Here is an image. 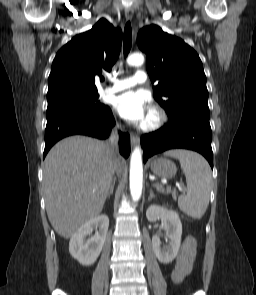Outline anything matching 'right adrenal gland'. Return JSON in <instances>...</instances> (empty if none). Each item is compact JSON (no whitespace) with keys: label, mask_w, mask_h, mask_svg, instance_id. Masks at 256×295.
Wrapping results in <instances>:
<instances>
[{"label":"right adrenal gland","mask_w":256,"mask_h":295,"mask_svg":"<svg viewBox=\"0 0 256 295\" xmlns=\"http://www.w3.org/2000/svg\"><path fill=\"white\" fill-rule=\"evenodd\" d=\"M115 181H116V178H114L112 183H111L110 189H109L108 194H107V198H109L110 195H112L113 192H114Z\"/></svg>","instance_id":"1"}]
</instances>
